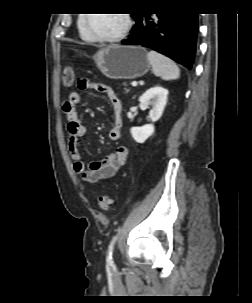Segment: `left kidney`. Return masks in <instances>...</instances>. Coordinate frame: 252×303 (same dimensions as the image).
<instances>
[{"mask_svg": "<svg viewBox=\"0 0 252 303\" xmlns=\"http://www.w3.org/2000/svg\"><path fill=\"white\" fill-rule=\"evenodd\" d=\"M168 90L156 85L143 93L140 98V108L145 110L150 105L152 109L149 112L151 124H146L142 127H132L130 133L133 139L138 143H144L154 133V122L158 121L163 114L167 103Z\"/></svg>", "mask_w": 252, "mask_h": 303, "instance_id": "obj_1", "label": "left kidney"}]
</instances>
